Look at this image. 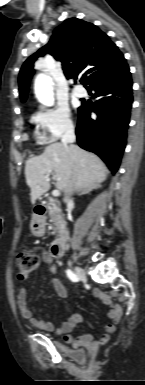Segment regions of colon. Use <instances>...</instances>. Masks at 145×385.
Masks as SVG:
<instances>
[{"mask_svg":"<svg viewBox=\"0 0 145 385\" xmlns=\"http://www.w3.org/2000/svg\"><path fill=\"white\" fill-rule=\"evenodd\" d=\"M39 262L38 255L34 250L23 248L16 258V268L19 278L29 277L37 268Z\"/></svg>","mask_w":145,"mask_h":385,"instance_id":"obj_1","label":"colon"}]
</instances>
